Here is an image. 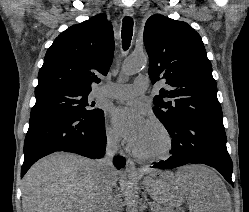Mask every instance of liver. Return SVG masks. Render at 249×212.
I'll use <instances>...</instances> for the list:
<instances>
[{
    "mask_svg": "<svg viewBox=\"0 0 249 212\" xmlns=\"http://www.w3.org/2000/svg\"><path fill=\"white\" fill-rule=\"evenodd\" d=\"M95 160L76 154H50L31 166L22 180L23 212H97ZM119 172L111 170L113 186ZM145 192L159 206L179 208L186 198L190 212H231L230 194L221 178L206 168L182 166L176 174L142 168Z\"/></svg>",
    "mask_w": 249,
    "mask_h": 212,
    "instance_id": "6515ba94",
    "label": "liver"
}]
</instances>
